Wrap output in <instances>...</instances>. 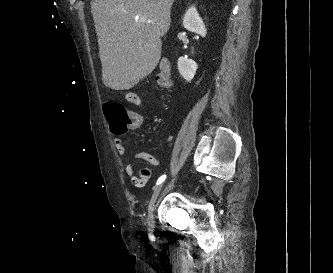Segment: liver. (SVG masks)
Masks as SVG:
<instances>
[{"label":"liver","instance_id":"liver-1","mask_svg":"<svg viewBox=\"0 0 333 273\" xmlns=\"http://www.w3.org/2000/svg\"><path fill=\"white\" fill-rule=\"evenodd\" d=\"M174 1H91L106 87L131 89L156 68Z\"/></svg>","mask_w":333,"mask_h":273}]
</instances>
